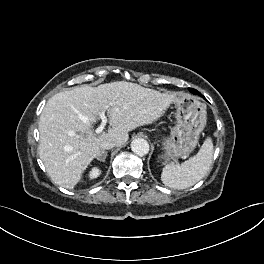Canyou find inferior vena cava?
Segmentation results:
<instances>
[{"label": "inferior vena cava", "mask_w": 264, "mask_h": 264, "mask_svg": "<svg viewBox=\"0 0 264 264\" xmlns=\"http://www.w3.org/2000/svg\"><path fill=\"white\" fill-rule=\"evenodd\" d=\"M117 146V142L115 140L112 139H107L104 140L101 144H100V149L102 151L104 150H109L112 149L113 147Z\"/></svg>", "instance_id": "1"}]
</instances>
